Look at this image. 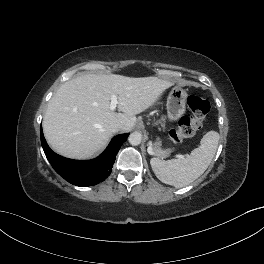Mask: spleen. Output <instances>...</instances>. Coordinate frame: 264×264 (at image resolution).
<instances>
[{
	"label": "spleen",
	"instance_id": "3e777b00",
	"mask_svg": "<svg viewBox=\"0 0 264 264\" xmlns=\"http://www.w3.org/2000/svg\"><path fill=\"white\" fill-rule=\"evenodd\" d=\"M219 142V133L207 132L200 146L187 157L161 160L152 158L150 164L156 177L163 183L182 188L198 179L210 165Z\"/></svg>",
	"mask_w": 264,
	"mask_h": 264
}]
</instances>
